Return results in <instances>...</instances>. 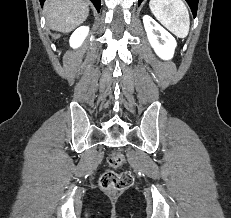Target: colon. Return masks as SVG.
I'll return each instance as SVG.
<instances>
[{"instance_id": "colon-1", "label": "colon", "mask_w": 231, "mask_h": 218, "mask_svg": "<svg viewBox=\"0 0 231 218\" xmlns=\"http://www.w3.org/2000/svg\"><path fill=\"white\" fill-rule=\"evenodd\" d=\"M124 156L118 152H112L108 157V165L111 169L119 168L124 164ZM133 183V176L130 172L124 171L116 173L113 170L105 171L99 180L101 189L107 193H117L128 187Z\"/></svg>"}]
</instances>
